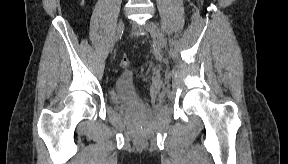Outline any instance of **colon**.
I'll use <instances>...</instances> for the list:
<instances>
[{
    "label": "colon",
    "mask_w": 288,
    "mask_h": 164,
    "mask_svg": "<svg viewBox=\"0 0 288 164\" xmlns=\"http://www.w3.org/2000/svg\"><path fill=\"white\" fill-rule=\"evenodd\" d=\"M129 65V60L126 56H123L122 60H121V66L123 67H127Z\"/></svg>",
    "instance_id": "5ec220e1"
}]
</instances>
